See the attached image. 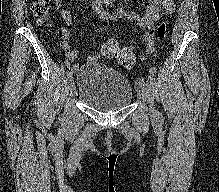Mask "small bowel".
<instances>
[{
    "label": "small bowel",
    "instance_id": "obj_1",
    "mask_svg": "<svg viewBox=\"0 0 219 192\" xmlns=\"http://www.w3.org/2000/svg\"><path fill=\"white\" fill-rule=\"evenodd\" d=\"M149 3L144 10L142 16L127 11L122 8H117L115 13H108L104 11L103 4L108 3L109 0H96L94 3V10L98 13L102 20L117 21L119 19H125L130 22H137L140 28L144 31V39L147 42L146 53L142 55L144 59L148 58L152 53L153 43V29L155 23L159 20L161 15H166L174 12L176 6L173 0H148ZM54 7L60 13L63 21L67 26L72 25V14L65 8L63 0H53ZM62 42L61 47L65 52L68 63L73 62L79 55L77 50L71 49L70 44L72 37L69 30L61 26ZM151 50V51H150ZM89 61L96 60L95 57H88ZM77 66H73V70H77Z\"/></svg>",
    "mask_w": 219,
    "mask_h": 192
}]
</instances>
